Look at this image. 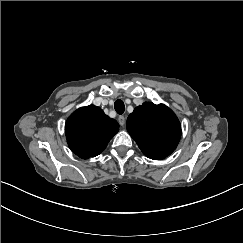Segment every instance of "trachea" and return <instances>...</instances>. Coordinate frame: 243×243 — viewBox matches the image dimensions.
Returning a JSON list of instances; mask_svg holds the SVG:
<instances>
[{
    "label": "trachea",
    "mask_w": 243,
    "mask_h": 243,
    "mask_svg": "<svg viewBox=\"0 0 243 243\" xmlns=\"http://www.w3.org/2000/svg\"><path fill=\"white\" fill-rule=\"evenodd\" d=\"M114 108H115V111L118 114H123L124 111H125V105H124L123 101L120 100V99H118L117 101H115Z\"/></svg>",
    "instance_id": "trachea-1"
}]
</instances>
